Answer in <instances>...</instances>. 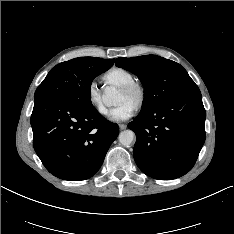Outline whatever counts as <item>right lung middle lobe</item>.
Instances as JSON below:
<instances>
[{"label": "right lung middle lobe", "instance_id": "right-lung-middle-lobe-1", "mask_svg": "<svg viewBox=\"0 0 234 234\" xmlns=\"http://www.w3.org/2000/svg\"><path fill=\"white\" fill-rule=\"evenodd\" d=\"M107 66H91L80 58L62 62L48 73L38 86L34 99L62 97L83 107L92 106L90 87L93 79L108 70Z\"/></svg>", "mask_w": 234, "mask_h": 234}]
</instances>
